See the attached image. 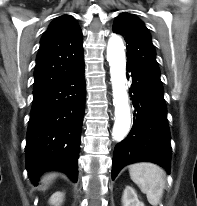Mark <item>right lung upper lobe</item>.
Segmentation results:
<instances>
[{"mask_svg":"<svg viewBox=\"0 0 197 206\" xmlns=\"http://www.w3.org/2000/svg\"><path fill=\"white\" fill-rule=\"evenodd\" d=\"M82 63L81 29L72 16L62 15L51 22L41 38L33 94L52 87Z\"/></svg>","mask_w":197,"mask_h":206,"instance_id":"1","label":"right lung upper lobe"}]
</instances>
